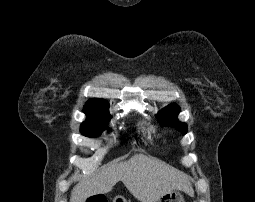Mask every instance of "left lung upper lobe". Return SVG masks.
Instances as JSON below:
<instances>
[{
    "label": "left lung upper lobe",
    "mask_w": 255,
    "mask_h": 202,
    "mask_svg": "<svg viewBox=\"0 0 255 202\" xmlns=\"http://www.w3.org/2000/svg\"><path fill=\"white\" fill-rule=\"evenodd\" d=\"M180 112V107L172 103L167 107L163 108L158 114L156 118L158 121L164 126H174L177 127L183 134L187 132V125L183 122H179L177 120V116Z\"/></svg>",
    "instance_id": "obj_1"
}]
</instances>
